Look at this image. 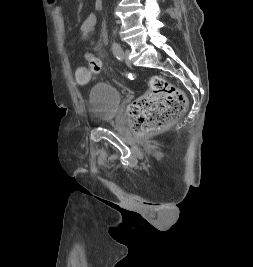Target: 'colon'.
<instances>
[{"instance_id":"1","label":"colon","mask_w":253,"mask_h":267,"mask_svg":"<svg viewBox=\"0 0 253 267\" xmlns=\"http://www.w3.org/2000/svg\"><path fill=\"white\" fill-rule=\"evenodd\" d=\"M85 58L88 68L78 67L75 77L78 82L86 83L91 74L102 70L101 61L92 53L87 52ZM187 107V99L182 90L162 77L150 79L149 90L136 99L129 108L134 132L145 135L158 131L180 117Z\"/></svg>"}]
</instances>
